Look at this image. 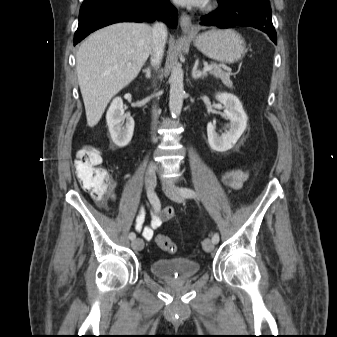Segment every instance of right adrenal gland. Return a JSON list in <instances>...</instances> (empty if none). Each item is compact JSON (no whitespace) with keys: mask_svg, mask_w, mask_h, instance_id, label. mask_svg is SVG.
<instances>
[{"mask_svg":"<svg viewBox=\"0 0 337 337\" xmlns=\"http://www.w3.org/2000/svg\"><path fill=\"white\" fill-rule=\"evenodd\" d=\"M143 72L145 73L146 78L150 79V77H151V70H150V68L144 69Z\"/></svg>","mask_w":337,"mask_h":337,"instance_id":"2a0ac1e0","label":"right adrenal gland"}]
</instances>
